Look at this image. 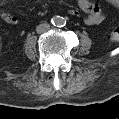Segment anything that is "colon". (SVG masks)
<instances>
[{"label": "colon", "instance_id": "colon-1", "mask_svg": "<svg viewBox=\"0 0 119 119\" xmlns=\"http://www.w3.org/2000/svg\"><path fill=\"white\" fill-rule=\"evenodd\" d=\"M110 38L112 41L117 42L119 41V28H114L110 33Z\"/></svg>", "mask_w": 119, "mask_h": 119}]
</instances>
